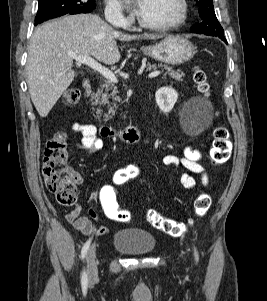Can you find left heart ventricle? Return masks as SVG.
Masks as SVG:
<instances>
[{
  "mask_svg": "<svg viewBox=\"0 0 267 301\" xmlns=\"http://www.w3.org/2000/svg\"><path fill=\"white\" fill-rule=\"evenodd\" d=\"M179 0H143L139 16L146 22L166 24L180 14Z\"/></svg>",
  "mask_w": 267,
  "mask_h": 301,
  "instance_id": "obj_1",
  "label": "left heart ventricle"
}]
</instances>
